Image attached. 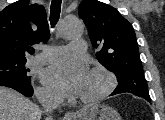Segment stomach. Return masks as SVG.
Wrapping results in <instances>:
<instances>
[{"instance_id": "stomach-1", "label": "stomach", "mask_w": 165, "mask_h": 120, "mask_svg": "<svg viewBox=\"0 0 165 120\" xmlns=\"http://www.w3.org/2000/svg\"><path fill=\"white\" fill-rule=\"evenodd\" d=\"M74 120H121V117L114 108L105 104H96L83 108Z\"/></svg>"}]
</instances>
